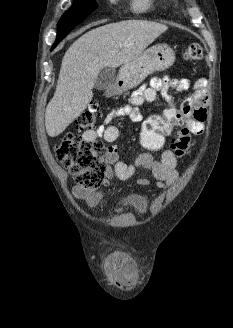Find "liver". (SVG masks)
<instances>
[{
	"label": "liver",
	"mask_w": 233,
	"mask_h": 328,
	"mask_svg": "<svg viewBox=\"0 0 233 328\" xmlns=\"http://www.w3.org/2000/svg\"><path fill=\"white\" fill-rule=\"evenodd\" d=\"M167 29L160 23L126 20L95 28L77 39L62 59L56 91L45 111L47 134L58 136L87 108L103 68L138 58Z\"/></svg>",
	"instance_id": "1"
}]
</instances>
